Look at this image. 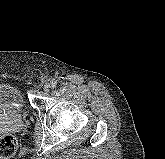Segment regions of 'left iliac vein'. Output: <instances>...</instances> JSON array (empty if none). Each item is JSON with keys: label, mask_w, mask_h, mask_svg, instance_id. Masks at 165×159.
<instances>
[{"label": "left iliac vein", "mask_w": 165, "mask_h": 159, "mask_svg": "<svg viewBox=\"0 0 165 159\" xmlns=\"http://www.w3.org/2000/svg\"><path fill=\"white\" fill-rule=\"evenodd\" d=\"M51 87H52L51 83H46V84L44 85V91H45V92H48V91L50 90Z\"/></svg>", "instance_id": "left-iliac-vein-1"}]
</instances>
